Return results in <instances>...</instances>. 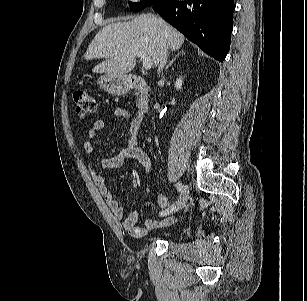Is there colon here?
Wrapping results in <instances>:
<instances>
[{
    "label": "colon",
    "mask_w": 307,
    "mask_h": 301,
    "mask_svg": "<svg viewBox=\"0 0 307 301\" xmlns=\"http://www.w3.org/2000/svg\"><path fill=\"white\" fill-rule=\"evenodd\" d=\"M75 111L79 117L93 114L97 109L96 97L88 91H77L73 95Z\"/></svg>",
    "instance_id": "obj_1"
}]
</instances>
